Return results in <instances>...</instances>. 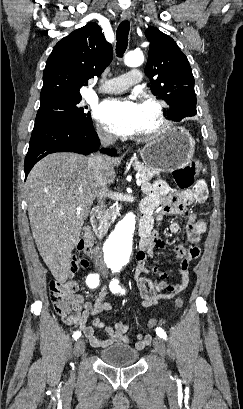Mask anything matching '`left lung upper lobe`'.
<instances>
[{
    "instance_id": "5c2ea615",
    "label": "left lung upper lobe",
    "mask_w": 243,
    "mask_h": 409,
    "mask_svg": "<svg viewBox=\"0 0 243 409\" xmlns=\"http://www.w3.org/2000/svg\"><path fill=\"white\" fill-rule=\"evenodd\" d=\"M145 35L150 42L145 74L151 79L153 94L170 105L169 119L180 113H196L194 77L187 57L158 28H148Z\"/></svg>"
}]
</instances>
